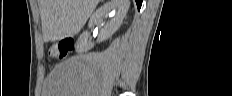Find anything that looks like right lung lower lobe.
<instances>
[{
  "label": "right lung lower lobe",
  "mask_w": 232,
  "mask_h": 96,
  "mask_svg": "<svg viewBox=\"0 0 232 96\" xmlns=\"http://www.w3.org/2000/svg\"><path fill=\"white\" fill-rule=\"evenodd\" d=\"M136 1V4H137V7H138V10L140 9L141 7V4H142V1L143 0H135Z\"/></svg>",
  "instance_id": "1"
}]
</instances>
